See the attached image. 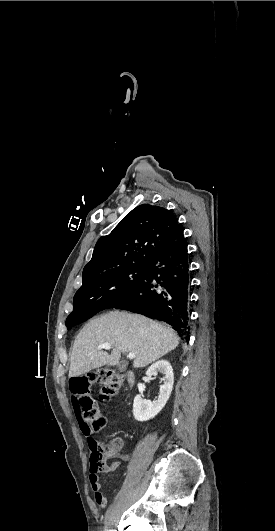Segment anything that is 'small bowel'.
Wrapping results in <instances>:
<instances>
[{
    "mask_svg": "<svg viewBox=\"0 0 275 531\" xmlns=\"http://www.w3.org/2000/svg\"><path fill=\"white\" fill-rule=\"evenodd\" d=\"M72 402L74 403L75 409L81 408V403L79 402L78 396H73ZM76 413H79V410H76ZM82 432L87 439V443L90 449H92L95 445L99 444V442L95 438H93V436L91 435L90 429L88 427H83ZM117 443L118 445L120 444V442H117ZM122 459L127 460L128 456L122 455ZM112 470H115V469H112ZM89 481H90L91 488L94 492V500H95L96 505L100 509L106 508L108 505V496L111 494V491L103 490L102 484L99 482V476L90 475Z\"/></svg>",
    "mask_w": 275,
    "mask_h": 531,
    "instance_id": "1",
    "label": "small bowel"
}]
</instances>
